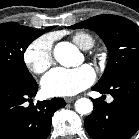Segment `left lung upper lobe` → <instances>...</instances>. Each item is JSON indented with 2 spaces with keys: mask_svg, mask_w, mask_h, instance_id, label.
I'll return each mask as SVG.
<instances>
[{
  "mask_svg": "<svg viewBox=\"0 0 139 139\" xmlns=\"http://www.w3.org/2000/svg\"><path fill=\"white\" fill-rule=\"evenodd\" d=\"M95 31L109 50V60L96 85L108 86L121 73L139 65V27L132 21L117 15H99L69 27Z\"/></svg>",
  "mask_w": 139,
  "mask_h": 139,
  "instance_id": "1",
  "label": "left lung upper lobe"
}]
</instances>
